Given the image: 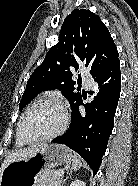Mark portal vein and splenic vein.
Returning a JSON list of instances; mask_svg holds the SVG:
<instances>
[{
    "instance_id": "obj_1",
    "label": "portal vein and splenic vein",
    "mask_w": 138,
    "mask_h": 186,
    "mask_svg": "<svg viewBox=\"0 0 138 186\" xmlns=\"http://www.w3.org/2000/svg\"><path fill=\"white\" fill-rule=\"evenodd\" d=\"M56 175L62 177L64 175V170L61 169V170L57 171Z\"/></svg>"
}]
</instances>
